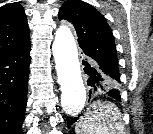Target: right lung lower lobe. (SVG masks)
<instances>
[{
    "label": "right lung lower lobe",
    "mask_w": 153,
    "mask_h": 134,
    "mask_svg": "<svg viewBox=\"0 0 153 134\" xmlns=\"http://www.w3.org/2000/svg\"><path fill=\"white\" fill-rule=\"evenodd\" d=\"M31 43L0 56V134H23Z\"/></svg>",
    "instance_id": "1"
}]
</instances>
